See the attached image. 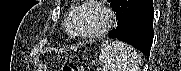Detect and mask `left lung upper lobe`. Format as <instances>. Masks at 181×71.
<instances>
[{"instance_id":"left-lung-upper-lobe-1","label":"left lung upper lobe","mask_w":181,"mask_h":71,"mask_svg":"<svg viewBox=\"0 0 181 71\" xmlns=\"http://www.w3.org/2000/svg\"><path fill=\"white\" fill-rule=\"evenodd\" d=\"M110 3H111V6L113 7L114 3L117 1V0H108Z\"/></svg>"}]
</instances>
